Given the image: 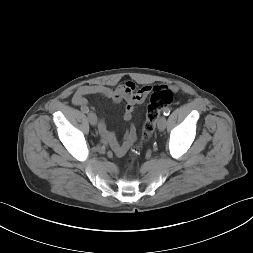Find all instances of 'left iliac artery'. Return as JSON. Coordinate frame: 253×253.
<instances>
[{
    "instance_id": "1",
    "label": "left iliac artery",
    "mask_w": 253,
    "mask_h": 253,
    "mask_svg": "<svg viewBox=\"0 0 253 253\" xmlns=\"http://www.w3.org/2000/svg\"><path fill=\"white\" fill-rule=\"evenodd\" d=\"M163 114H164L165 116H168V115L170 114V109H169V108H165V109L163 110Z\"/></svg>"
}]
</instances>
